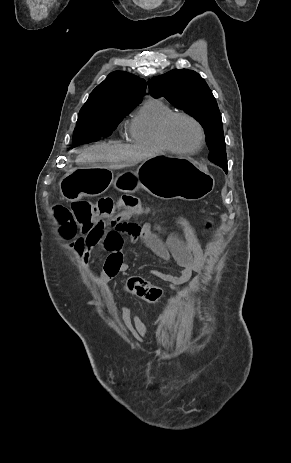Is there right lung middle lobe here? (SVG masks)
<instances>
[{
    "mask_svg": "<svg viewBox=\"0 0 291 463\" xmlns=\"http://www.w3.org/2000/svg\"><path fill=\"white\" fill-rule=\"evenodd\" d=\"M135 105H105L98 108L80 110L73 133L71 148L95 142L109 136L123 117L132 111Z\"/></svg>",
    "mask_w": 291,
    "mask_h": 463,
    "instance_id": "obj_1",
    "label": "right lung middle lobe"
}]
</instances>
